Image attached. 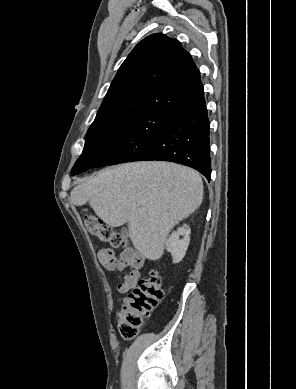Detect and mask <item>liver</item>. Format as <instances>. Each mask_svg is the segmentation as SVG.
Instances as JSON below:
<instances>
[{
    "mask_svg": "<svg viewBox=\"0 0 296 389\" xmlns=\"http://www.w3.org/2000/svg\"><path fill=\"white\" fill-rule=\"evenodd\" d=\"M70 200L76 206L88 202L110 227L128 223L134 248L146 259L157 260L171 229L200 207L203 182L195 170L175 163L132 162L81 182Z\"/></svg>",
    "mask_w": 296,
    "mask_h": 389,
    "instance_id": "obj_1",
    "label": "liver"
}]
</instances>
